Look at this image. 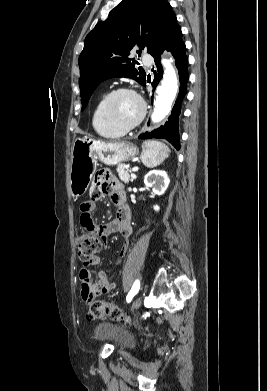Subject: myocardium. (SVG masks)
I'll use <instances>...</instances> for the list:
<instances>
[{
	"label": "myocardium",
	"instance_id": "1",
	"mask_svg": "<svg viewBox=\"0 0 267 391\" xmlns=\"http://www.w3.org/2000/svg\"><path fill=\"white\" fill-rule=\"evenodd\" d=\"M122 93H128V94L133 95L138 100V102L140 104V113H139L138 117L129 125H121V124L117 123L112 118L111 113H110L111 101L113 100V98L115 96L122 94ZM146 110H147L146 104H145L143 98L140 96V94L138 92H136L134 89L128 88V87H118V88H115L112 91H110L105 96V99H104L103 105H102V115H103V118L106 121V123L110 127H112L113 129L121 131L123 133L129 132V131L133 130L134 128H136L143 121V119L146 115Z\"/></svg>",
	"mask_w": 267,
	"mask_h": 391
}]
</instances>
